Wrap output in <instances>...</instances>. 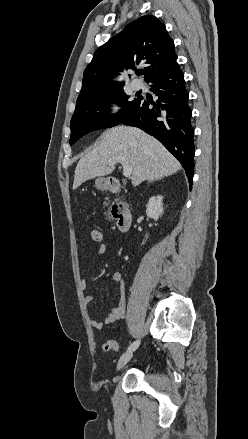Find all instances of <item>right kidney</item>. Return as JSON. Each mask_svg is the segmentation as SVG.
I'll return each mask as SVG.
<instances>
[{
  "mask_svg": "<svg viewBox=\"0 0 248 439\" xmlns=\"http://www.w3.org/2000/svg\"><path fill=\"white\" fill-rule=\"evenodd\" d=\"M163 196H152L146 206V215L154 220H158L163 214Z\"/></svg>",
  "mask_w": 248,
  "mask_h": 439,
  "instance_id": "1",
  "label": "right kidney"
}]
</instances>
